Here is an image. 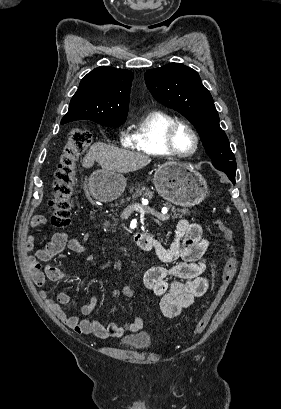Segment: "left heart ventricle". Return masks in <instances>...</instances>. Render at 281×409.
I'll return each instance as SVG.
<instances>
[{"label":"left heart ventricle","instance_id":"b2bd125f","mask_svg":"<svg viewBox=\"0 0 281 409\" xmlns=\"http://www.w3.org/2000/svg\"><path fill=\"white\" fill-rule=\"evenodd\" d=\"M177 146L180 151L189 153L193 149V140L190 133L182 129L177 135Z\"/></svg>","mask_w":281,"mask_h":409}]
</instances>
